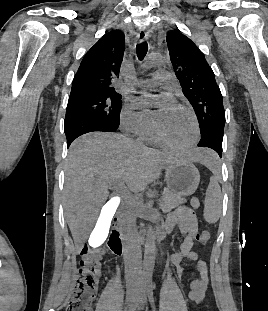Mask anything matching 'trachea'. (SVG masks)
<instances>
[{
  "mask_svg": "<svg viewBox=\"0 0 268 311\" xmlns=\"http://www.w3.org/2000/svg\"><path fill=\"white\" fill-rule=\"evenodd\" d=\"M147 51H148V44L146 41L137 44L136 53H137V57L140 61H142L144 59V57L147 54Z\"/></svg>",
  "mask_w": 268,
  "mask_h": 311,
  "instance_id": "obj_1",
  "label": "trachea"
}]
</instances>
